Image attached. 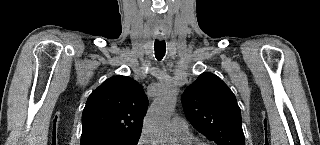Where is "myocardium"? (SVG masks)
<instances>
[{"label": "myocardium", "mask_w": 320, "mask_h": 145, "mask_svg": "<svg viewBox=\"0 0 320 145\" xmlns=\"http://www.w3.org/2000/svg\"><path fill=\"white\" fill-rule=\"evenodd\" d=\"M182 145H209V144L204 141H190V142L184 143Z\"/></svg>", "instance_id": "1"}]
</instances>
